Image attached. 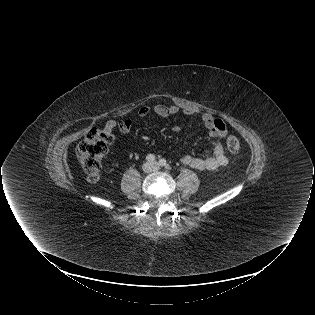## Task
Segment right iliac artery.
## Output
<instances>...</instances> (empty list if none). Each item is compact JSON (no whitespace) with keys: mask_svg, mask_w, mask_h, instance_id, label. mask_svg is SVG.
<instances>
[{"mask_svg":"<svg viewBox=\"0 0 315 315\" xmlns=\"http://www.w3.org/2000/svg\"><path fill=\"white\" fill-rule=\"evenodd\" d=\"M146 160L148 162H153L155 160V156L153 154H149L146 156Z\"/></svg>","mask_w":315,"mask_h":315,"instance_id":"right-iliac-artery-1","label":"right iliac artery"}]
</instances>
